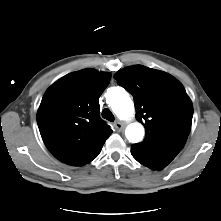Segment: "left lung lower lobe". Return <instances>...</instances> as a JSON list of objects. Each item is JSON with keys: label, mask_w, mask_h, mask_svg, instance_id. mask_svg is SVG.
Instances as JSON below:
<instances>
[{"label": "left lung lower lobe", "mask_w": 221, "mask_h": 221, "mask_svg": "<svg viewBox=\"0 0 221 221\" xmlns=\"http://www.w3.org/2000/svg\"><path fill=\"white\" fill-rule=\"evenodd\" d=\"M131 154L138 162L152 170H161L171 162L161 159L140 144L131 146Z\"/></svg>", "instance_id": "1"}]
</instances>
